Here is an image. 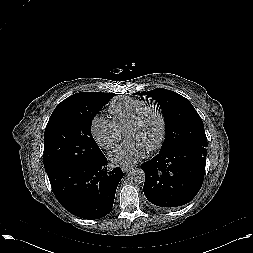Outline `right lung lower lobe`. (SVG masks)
<instances>
[{
  "instance_id": "98d812e1",
  "label": "right lung lower lobe",
  "mask_w": 253,
  "mask_h": 253,
  "mask_svg": "<svg viewBox=\"0 0 253 253\" xmlns=\"http://www.w3.org/2000/svg\"><path fill=\"white\" fill-rule=\"evenodd\" d=\"M59 203L83 219H99L112 209L115 192L123 177L120 167L107 169L102 153L86 163H77L47 173Z\"/></svg>"
}]
</instances>
